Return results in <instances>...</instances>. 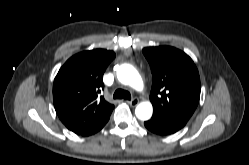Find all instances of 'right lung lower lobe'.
Instances as JSON below:
<instances>
[{"mask_svg":"<svg viewBox=\"0 0 249 165\" xmlns=\"http://www.w3.org/2000/svg\"><path fill=\"white\" fill-rule=\"evenodd\" d=\"M107 121H105L104 123H102L100 126H98L97 128H95L94 130H92L90 132H87V133H84V134H81V135L88 136V135H92V134L98 132L99 130H101L103 128V126L107 123Z\"/></svg>","mask_w":249,"mask_h":165,"instance_id":"obj_1","label":"right lung lower lobe"}]
</instances>
